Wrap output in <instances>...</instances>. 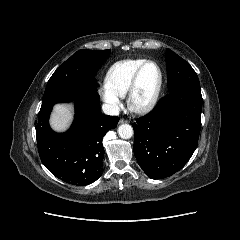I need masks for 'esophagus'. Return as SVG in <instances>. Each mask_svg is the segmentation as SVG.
Instances as JSON below:
<instances>
[{
	"label": "esophagus",
	"instance_id": "34e87169",
	"mask_svg": "<svg viewBox=\"0 0 240 240\" xmlns=\"http://www.w3.org/2000/svg\"><path fill=\"white\" fill-rule=\"evenodd\" d=\"M128 122V120L127 119H124V118H121L120 120H119V123L120 124H122V123H127Z\"/></svg>",
	"mask_w": 240,
	"mask_h": 240
}]
</instances>
